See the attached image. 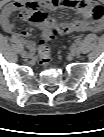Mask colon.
<instances>
[{
	"instance_id": "1",
	"label": "colon",
	"mask_w": 104,
	"mask_h": 137,
	"mask_svg": "<svg viewBox=\"0 0 104 137\" xmlns=\"http://www.w3.org/2000/svg\"><path fill=\"white\" fill-rule=\"evenodd\" d=\"M32 21L37 24H43L48 22V16L44 11L37 10L32 15ZM59 34L58 29L49 26L43 31L42 38L38 42V54L40 61L43 64H48L50 61V49L48 46V41L54 39Z\"/></svg>"
}]
</instances>
